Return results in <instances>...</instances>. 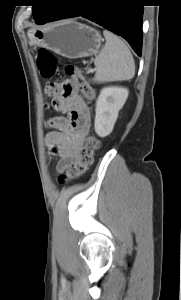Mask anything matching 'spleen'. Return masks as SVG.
Returning <instances> with one entry per match:
<instances>
[{
    "label": "spleen",
    "instance_id": "obj_1",
    "mask_svg": "<svg viewBox=\"0 0 181 300\" xmlns=\"http://www.w3.org/2000/svg\"><path fill=\"white\" fill-rule=\"evenodd\" d=\"M103 35L106 43L95 58L96 73L93 81L106 83L134 77L135 62L128 46L108 30H104Z\"/></svg>",
    "mask_w": 181,
    "mask_h": 300
}]
</instances>
